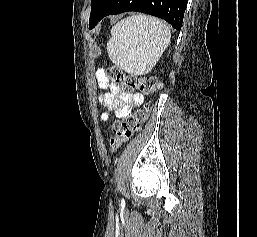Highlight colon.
<instances>
[{"label": "colon", "instance_id": "1", "mask_svg": "<svg viewBox=\"0 0 257 237\" xmlns=\"http://www.w3.org/2000/svg\"><path fill=\"white\" fill-rule=\"evenodd\" d=\"M107 76L114 85L128 93L137 91L146 95H152L162 88V83L155 76L127 75L115 66L108 68ZM150 110L151 105L146 104L142 109L113 124V136L109 139L112 152H116L123 143L129 141L141 129V126L148 118Z\"/></svg>", "mask_w": 257, "mask_h": 237}]
</instances>
